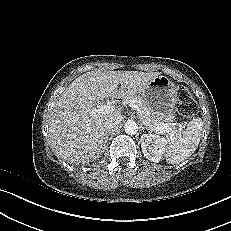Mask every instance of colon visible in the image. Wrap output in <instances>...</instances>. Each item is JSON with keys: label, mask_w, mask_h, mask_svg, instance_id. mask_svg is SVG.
<instances>
[{"label": "colon", "mask_w": 231, "mask_h": 231, "mask_svg": "<svg viewBox=\"0 0 231 231\" xmlns=\"http://www.w3.org/2000/svg\"><path fill=\"white\" fill-rule=\"evenodd\" d=\"M175 93L177 98V108L180 115L186 120L194 118L197 114L198 108L190 92L183 86H177Z\"/></svg>", "instance_id": "5ec220e1"}]
</instances>
